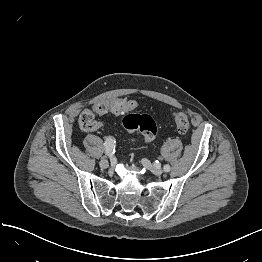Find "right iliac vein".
<instances>
[{"instance_id": "right-iliac-vein-1", "label": "right iliac vein", "mask_w": 262, "mask_h": 262, "mask_svg": "<svg viewBox=\"0 0 262 262\" xmlns=\"http://www.w3.org/2000/svg\"><path fill=\"white\" fill-rule=\"evenodd\" d=\"M100 166H101V168L106 169L110 166V163L107 159H101L100 160Z\"/></svg>"}]
</instances>
